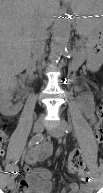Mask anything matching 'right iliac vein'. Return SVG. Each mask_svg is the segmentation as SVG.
Listing matches in <instances>:
<instances>
[{"label": "right iliac vein", "mask_w": 103, "mask_h": 193, "mask_svg": "<svg viewBox=\"0 0 103 193\" xmlns=\"http://www.w3.org/2000/svg\"><path fill=\"white\" fill-rule=\"evenodd\" d=\"M42 130H43V123H42V122H39V121L36 122V123L34 124V126H33V132H34V133H40V132H42ZM7 185H8V188H9V189L13 188V186H14V181H13V179H10V180L8 181Z\"/></svg>", "instance_id": "obj_1"}]
</instances>
